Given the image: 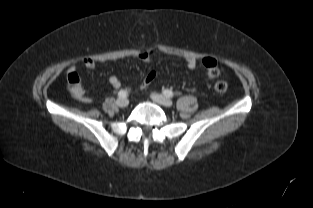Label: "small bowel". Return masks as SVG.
Here are the masks:
<instances>
[{
  "mask_svg": "<svg viewBox=\"0 0 313 208\" xmlns=\"http://www.w3.org/2000/svg\"><path fill=\"white\" fill-rule=\"evenodd\" d=\"M156 53L154 50H146L140 53L137 58L142 61H150L155 57ZM82 64L89 68L93 69L96 67L97 62L91 57H86L82 60ZM201 64L209 70L211 67H217V61L213 57H205L201 60ZM186 65L189 69H194L197 66L196 59L189 57L186 59ZM67 81L71 94L75 99L82 103H90L92 101L91 97L86 93V91L80 85L79 76L75 66L70 67L67 75ZM109 84L113 88H119L121 83L119 79L115 76L109 78Z\"/></svg>",
  "mask_w": 313,
  "mask_h": 208,
  "instance_id": "small-bowel-1",
  "label": "small bowel"
}]
</instances>
